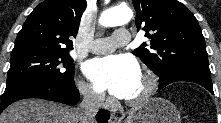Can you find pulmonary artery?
I'll list each match as a JSON object with an SVG mask.
<instances>
[{
	"label": "pulmonary artery",
	"instance_id": "e3ab8cb5",
	"mask_svg": "<svg viewBox=\"0 0 221 123\" xmlns=\"http://www.w3.org/2000/svg\"><path fill=\"white\" fill-rule=\"evenodd\" d=\"M130 35L126 29L116 30L111 37L95 39L89 47V50L95 54H105L112 52L117 47L128 43Z\"/></svg>",
	"mask_w": 221,
	"mask_h": 123
}]
</instances>
